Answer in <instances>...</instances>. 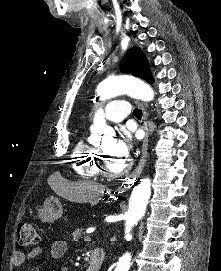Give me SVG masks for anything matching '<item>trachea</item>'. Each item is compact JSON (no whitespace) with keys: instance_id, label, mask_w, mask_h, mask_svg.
<instances>
[{"instance_id":"1","label":"trachea","mask_w":221,"mask_h":271,"mask_svg":"<svg viewBox=\"0 0 221 271\" xmlns=\"http://www.w3.org/2000/svg\"><path fill=\"white\" fill-rule=\"evenodd\" d=\"M133 115H134L137 119H141V117H142V111L139 110L138 108H135V109L133 110Z\"/></svg>"}]
</instances>
